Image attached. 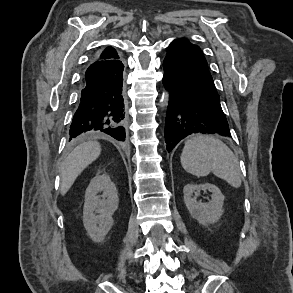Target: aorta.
<instances>
[{
    "instance_id": "762f6f07",
    "label": "aorta",
    "mask_w": 293,
    "mask_h": 293,
    "mask_svg": "<svg viewBox=\"0 0 293 293\" xmlns=\"http://www.w3.org/2000/svg\"><path fill=\"white\" fill-rule=\"evenodd\" d=\"M168 101H169V92L165 91V92H163L162 99H161V108L162 109H165L167 107Z\"/></svg>"
}]
</instances>
